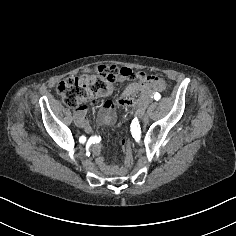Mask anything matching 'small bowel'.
<instances>
[{"instance_id": "c3829d8e", "label": "small bowel", "mask_w": 236, "mask_h": 236, "mask_svg": "<svg viewBox=\"0 0 236 236\" xmlns=\"http://www.w3.org/2000/svg\"><path fill=\"white\" fill-rule=\"evenodd\" d=\"M140 79L132 82L122 91L119 99L116 101L107 100L103 103L99 115V124L106 126L112 125L115 121V109L117 107H137L138 114H141L149 104L152 94L163 88V83L157 77L145 75L143 72H137ZM120 81L126 79L120 76ZM75 123L86 132L91 133L92 127L87 119V106L80 105L74 113ZM91 151L94 155H99L102 151L100 137L93 135L90 138ZM96 163L108 175H120L124 171V166L108 163L103 157L98 156Z\"/></svg>"}]
</instances>
